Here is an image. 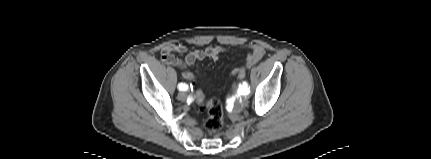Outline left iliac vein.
<instances>
[{
  "mask_svg": "<svg viewBox=\"0 0 431 159\" xmlns=\"http://www.w3.org/2000/svg\"><path fill=\"white\" fill-rule=\"evenodd\" d=\"M247 103H248L247 98H246V97H243V99H242V104H243V105H246Z\"/></svg>",
  "mask_w": 431,
  "mask_h": 159,
  "instance_id": "left-iliac-vein-1",
  "label": "left iliac vein"
}]
</instances>
